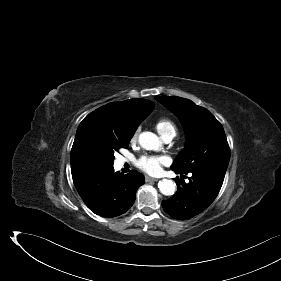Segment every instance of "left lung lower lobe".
Masks as SVG:
<instances>
[{"mask_svg": "<svg viewBox=\"0 0 281 281\" xmlns=\"http://www.w3.org/2000/svg\"><path fill=\"white\" fill-rule=\"evenodd\" d=\"M182 174L181 179L189 172L172 169ZM226 170L218 168H206L190 172L189 183L181 181L178 177L175 182L178 190L173 197L162 202V207L171 217L187 220L205 210L217 197Z\"/></svg>", "mask_w": 281, "mask_h": 281, "instance_id": "1", "label": "left lung lower lobe"}]
</instances>
